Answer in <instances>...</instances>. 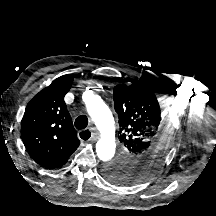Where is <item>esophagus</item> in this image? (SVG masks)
Instances as JSON below:
<instances>
[{"instance_id":"1","label":"esophagus","mask_w":216,"mask_h":216,"mask_svg":"<svg viewBox=\"0 0 216 216\" xmlns=\"http://www.w3.org/2000/svg\"><path fill=\"white\" fill-rule=\"evenodd\" d=\"M90 133V138L87 140L88 142L89 141H94V140H97L98 139V134L96 133V132H93V131H91L90 129H85V130H82V131H80L79 133H78V137L80 138V139H82L81 138V135L83 134V133Z\"/></svg>"}]
</instances>
